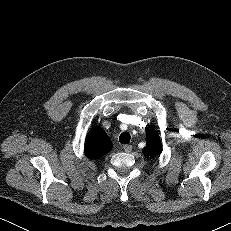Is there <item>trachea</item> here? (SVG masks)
Instances as JSON below:
<instances>
[{
    "label": "trachea",
    "instance_id": "1",
    "mask_svg": "<svg viewBox=\"0 0 231 231\" xmlns=\"http://www.w3.org/2000/svg\"><path fill=\"white\" fill-rule=\"evenodd\" d=\"M131 136L128 132L121 133L119 137V141L121 144H129L130 143Z\"/></svg>",
    "mask_w": 231,
    "mask_h": 231
}]
</instances>
